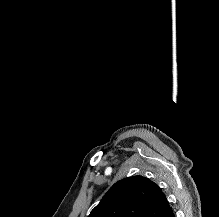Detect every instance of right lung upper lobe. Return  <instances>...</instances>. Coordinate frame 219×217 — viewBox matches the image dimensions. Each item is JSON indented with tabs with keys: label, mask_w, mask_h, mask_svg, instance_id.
I'll list each match as a JSON object with an SVG mask.
<instances>
[{
	"label": "right lung upper lobe",
	"mask_w": 219,
	"mask_h": 217,
	"mask_svg": "<svg viewBox=\"0 0 219 217\" xmlns=\"http://www.w3.org/2000/svg\"><path fill=\"white\" fill-rule=\"evenodd\" d=\"M172 212L155 182L134 176L116 182L88 217H169Z\"/></svg>",
	"instance_id": "right-lung-upper-lobe-1"
}]
</instances>
